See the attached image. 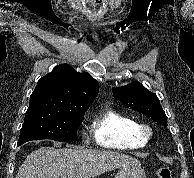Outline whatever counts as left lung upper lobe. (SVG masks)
<instances>
[{
    "label": "left lung upper lobe",
    "instance_id": "5c2ea615",
    "mask_svg": "<svg viewBox=\"0 0 194 178\" xmlns=\"http://www.w3.org/2000/svg\"><path fill=\"white\" fill-rule=\"evenodd\" d=\"M113 95L125 107L136 110L163 126H167V116L155 93L134 81L124 87L113 88Z\"/></svg>",
    "mask_w": 194,
    "mask_h": 178
}]
</instances>
